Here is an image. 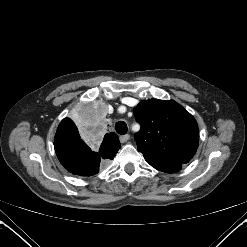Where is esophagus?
<instances>
[{
	"label": "esophagus",
	"mask_w": 247,
	"mask_h": 247,
	"mask_svg": "<svg viewBox=\"0 0 247 247\" xmlns=\"http://www.w3.org/2000/svg\"><path fill=\"white\" fill-rule=\"evenodd\" d=\"M119 139H120L121 143H125L130 139V135H128V134L122 135V136L119 137Z\"/></svg>",
	"instance_id": "esophagus-1"
}]
</instances>
